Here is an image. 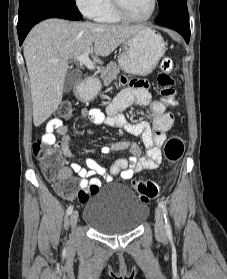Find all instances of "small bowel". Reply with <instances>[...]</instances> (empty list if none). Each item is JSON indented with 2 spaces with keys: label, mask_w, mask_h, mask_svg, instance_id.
I'll list each match as a JSON object with an SVG mask.
<instances>
[{
  "label": "small bowel",
  "mask_w": 227,
  "mask_h": 279,
  "mask_svg": "<svg viewBox=\"0 0 227 279\" xmlns=\"http://www.w3.org/2000/svg\"><path fill=\"white\" fill-rule=\"evenodd\" d=\"M122 83L124 88L107 107V117L99 109H82L81 116L83 120L95 125L106 123L108 126H118L132 135L140 136L146 149V156H141L139 149L129 142L116 141L104 145L101 148V153L108 155L114 151L129 150L130 156L117 159L109 169L102 167L93 157H86L84 166L77 162L63 166L59 171L60 178L65 181L73 175L78 176L81 179L80 187L87 197L91 191L90 186L92 183H96L98 187L100 186V177L107 182H111L116 175H120L123 179H130L134 174L143 170L157 169L162 160L160 147L166 140V132L174 123V115L165 112V102L152 98L149 91V83L146 80L129 81L124 77L122 78ZM134 104L149 108L153 117L152 124L146 120L132 123L121 114V112ZM54 132L60 134L61 138L57 140L54 138V142L50 145L54 149L60 150L65 157L76 158V154L70 149V136L62 121L57 119L50 120L46 126L44 139L50 136L54 137ZM86 199H80L79 202L84 204Z\"/></svg>",
  "instance_id": "obj_1"
}]
</instances>
